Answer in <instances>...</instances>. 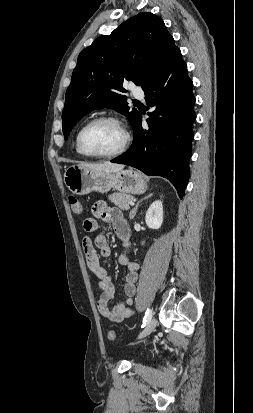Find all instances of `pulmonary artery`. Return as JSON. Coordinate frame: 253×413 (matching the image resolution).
I'll list each match as a JSON object with an SVG mask.
<instances>
[{"instance_id": "obj_1", "label": "pulmonary artery", "mask_w": 253, "mask_h": 413, "mask_svg": "<svg viewBox=\"0 0 253 413\" xmlns=\"http://www.w3.org/2000/svg\"><path fill=\"white\" fill-rule=\"evenodd\" d=\"M132 94L136 98H143L144 97V92L141 88L136 87L133 89Z\"/></svg>"}]
</instances>
